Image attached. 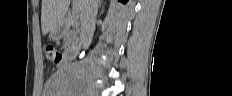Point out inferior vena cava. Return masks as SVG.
<instances>
[{"mask_svg":"<svg viewBox=\"0 0 232 96\" xmlns=\"http://www.w3.org/2000/svg\"><path fill=\"white\" fill-rule=\"evenodd\" d=\"M99 0H81V33L80 40L84 48H88L91 44L94 30L95 19L98 12Z\"/></svg>","mask_w":232,"mask_h":96,"instance_id":"obj_1","label":"inferior vena cava"}]
</instances>
